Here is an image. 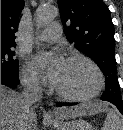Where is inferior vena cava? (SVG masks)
<instances>
[{"label": "inferior vena cava", "instance_id": "inferior-vena-cava-1", "mask_svg": "<svg viewBox=\"0 0 123 130\" xmlns=\"http://www.w3.org/2000/svg\"><path fill=\"white\" fill-rule=\"evenodd\" d=\"M23 92L22 97L24 100V121L21 130H29L28 127V113L30 107L42 100V89L38 81L35 80H23Z\"/></svg>", "mask_w": 123, "mask_h": 130}]
</instances>
